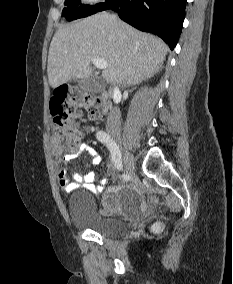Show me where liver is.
Masks as SVG:
<instances>
[{
	"mask_svg": "<svg viewBox=\"0 0 233 284\" xmlns=\"http://www.w3.org/2000/svg\"><path fill=\"white\" fill-rule=\"evenodd\" d=\"M168 52L158 37L140 32L109 13H97L61 27L48 54L49 84L57 88L90 76L92 58L107 61L102 76L108 84L136 85L152 77Z\"/></svg>",
	"mask_w": 233,
	"mask_h": 284,
	"instance_id": "6515ba94",
	"label": "liver"
}]
</instances>
